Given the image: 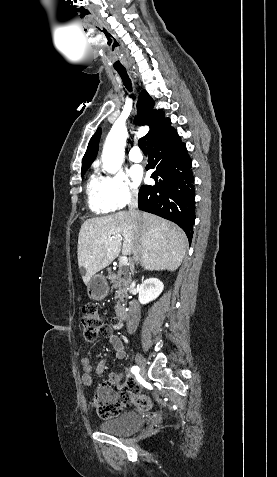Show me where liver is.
I'll return each instance as SVG.
<instances>
[{
  "instance_id": "6515ba94",
  "label": "liver",
  "mask_w": 277,
  "mask_h": 477,
  "mask_svg": "<svg viewBox=\"0 0 277 477\" xmlns=\"http://www.w3.org/2000/svg\"><path fill=\"white\" fill-rule=\"evenodd\" d=\"M137 244L139 261L146 270L174 271L184 259L187 238L176 224L146 212H139L137 220L124 211L87 219L80 228L77 248L78 265L86 272L84 283L88 285L120 253L134 255Z\"/></svg>"
}]
</instances>
